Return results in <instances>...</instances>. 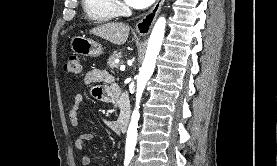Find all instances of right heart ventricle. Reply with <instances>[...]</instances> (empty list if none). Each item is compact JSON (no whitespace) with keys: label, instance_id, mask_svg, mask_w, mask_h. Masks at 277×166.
<instances>
[{"label":"right heart ventricle","instance_id":"1","mask_svg":"<svg viewBox=\"0 0 277 166\" xmlns=\"http://www.w3.org/2000/svg\"><path fill=\"white\" fill-rule=\"evenodd\" d=\"M86 16L95 23H106L118 16V10L112 0H82Z\"/></svg>","mask_w":277,"mask_h":166}]
</instances>
